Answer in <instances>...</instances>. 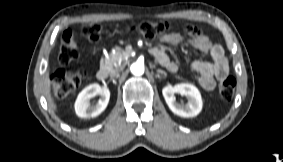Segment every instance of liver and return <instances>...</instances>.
Here are the masks:
<instances>
[{
    "label": "liver",
    "instance_id": "obj_1",
    "mask_svg": "<svg viewBox=\"0 0 283 162\" xmlns=\"http://www.w3.org/2000/svg\"><path fill=\"white\" fill-rule=\"evenodd\" d=\"M43 90H44V94L45 97L48 101V105L50 107V109L55 112L57 107L56 104L54 103L53 97L51 95V81H50V77H49V72H46L44 79H43Z\"/></svg>",
    "mask_w": 283,
    "mask_h": 162
}]
</instances>
